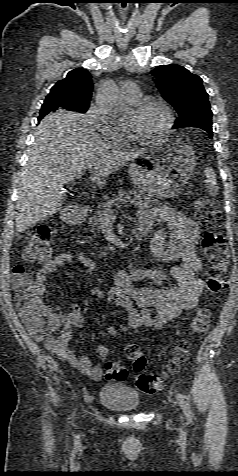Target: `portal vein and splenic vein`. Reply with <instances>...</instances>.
I'll list each match as a JSON object with an SVG mask.
<instances>
[{"label": "portal vein and splenic vein", "mask_w": 238, "mask_h": 476, "mask_svg": "<svg viewBox=\"0 0 238 476\" xmlns=\"http://www.w3.org/2000/svg\"><path fill=\"white\" fill-rule=\"evenodd\" d=\"M81 176H82V173L79 172V173L76 174L75 177H76V178H80ZM115 218H116V216H115L114 211L108 210V211H106V213L104 214L103 220H105V221H111V220H114Z\"/></svg>", "instance_id": "obj_1"}]
</instances>
